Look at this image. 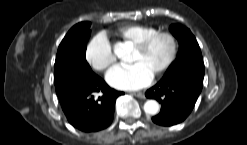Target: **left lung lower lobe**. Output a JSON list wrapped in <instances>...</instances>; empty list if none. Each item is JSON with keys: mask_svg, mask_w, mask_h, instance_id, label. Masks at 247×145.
<instances>
[{"mask_svg": "<svg viewBox=\"0 0 247 145\" xmlns=\"http://www.w3.org/2000/svg\"><path fill=\"white\" fill-rule=\"evenodd\" d=\"M203 78V64H185L166 72L145 94L161 103V111L152 118L153 122L171 126L185 120L202 90Z\"/></svg>", "mask_w": 247, "mask_h": 145, "instance_id": "0a47b994", "label": "left lung lower lobe"}]
</instances>
